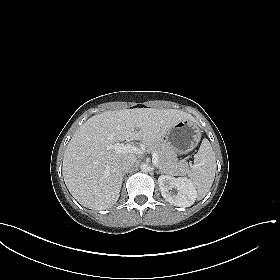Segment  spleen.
Wrapping results in <instances>:
<instances>
[{
	"instance_id": "1",
	"label": "spleen",
	"mask_w": 280,
	"mask_h": 280,
	"mask_svg": "<svg viewBox=\"0 0 280 280\" xmlns=\"http://www.w3.org/2000/svg\"><path fill=\"white\" fill-rule=\"evenodd\" d=\"M216 172V159L208 139H203L194 156V164L188 171V177L197 190L198 199H202L210 190Z\"/></svg>"
}]
</instances>
